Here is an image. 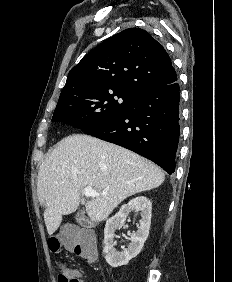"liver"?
<instances>
[{
  "instance_id": "6515ba94",
  "label": "liver",
  "mask_w": 232,
  "mask_h": 282,
  "mask_svg": "<svg viewBox=\"0 0 232 282\" xmlns=\"http://www.w3.org/2000/svg\"><path fill=\"white\" fill-rule=\"evenodd\" d=\"M164 180L159 167L130 150L85 134L67 136L38 172L37 195L48 234L58 229L63 215L76 211L87 186L100 195L86 202V212L93 222H101L124 199Z\"/></svg>"
}]
</instances>
